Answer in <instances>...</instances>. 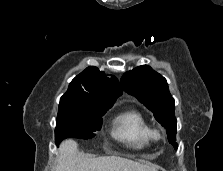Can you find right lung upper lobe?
I'll list each match as a JSON object with an SVG mask.
<instances>
[{
	"label": "right lung upper lobe",
	"mask_w": 223,
	"mask_h": 171,
	"mask_svg": "<svg viewBox=\"0 0 223 171\" xmlns=\"http://www.w3.org/2000/svg\"><path fill=\"white\" fill-rule=\"evenodd\" d=\"M121 94L116 77L108 78L92 66L72 80L59 105L112 106Z\"/></svg>",
	"instance_id": "obj_1"
}]
</instances>
